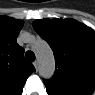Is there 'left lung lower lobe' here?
Returning <instances> with one entry per match:
<instances>
[{
  "instance_id": "0a47b994",
  "label": "left lung lower lobe",
  "mask_w": 95,
  "mask_h": 95,
  "mask_svg": "<svg viewBox=\"0 0 95 95\" xmlns=\"http://www.w3.org/2000/svg\"><path fill=\"white\" fill-rule=\"evenodd\" d=\"M46 90H47V93H48L49 95H80V94H71V93H68V92H62V93L51 92V91L48 90L47 88H46Z\"/></svg>"
}]
</instances>
